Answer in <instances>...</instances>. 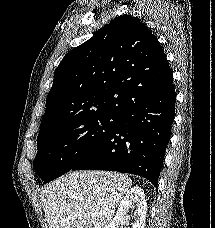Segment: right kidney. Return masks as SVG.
Listing matches in <instances>:
<instances>
[{
  "instance_id": "obj_1",
  "label": "right kidney",
  "mask_w": 215,
  "mask_h": 228,
  "mask_svg": "<svg viewBox=\"0 0 215 228\" xmlns=\"http://www.w3.org/2000/svg\"><path fill=\"white\" fill-rule=\"evenodd\" d=\"M130 210L132 212L134 210L132 214L134 216V222L131 224L132 228H145L147 200L144 190L138 188V186L127 190L118 206L117 214L114 216L110 228H124L125 224H128L130 220V216H128Z\"/></svg>"
}]
</instances>
